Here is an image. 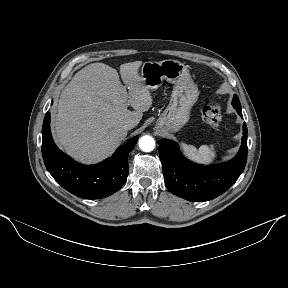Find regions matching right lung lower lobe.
Returning a JSON list of instances; mask_svg holds the SVG:
<instances>
[{
  "mask_svg": "<svg viewBox=\"0 0 288 288\" xmlns=\"http://www.w3.org/2000/svg\"><path fill=\"white\" fill-rule=\"evenodd\" d=\"M42 156L48 172L67 191L85 199L107 197L126 182L129 167L128 154L138 137L119 147L112 157L96 165H82L60 151L50 132V113L42 127Z\"/></svg>",
  "mask_w": 288,
  "mask_h": 288,
  "instance_id": "98d812e1",
  "label": "right lung lower lobe"
}]
</instances>
